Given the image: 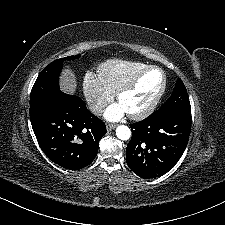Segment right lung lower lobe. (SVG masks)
Returning a JSON list of instances; mask_svg holds the SVG:
<instances>
[{
	"instance_id": "1",
	"label": "right lung lower lobe",
	"mask_w": 225,
	"mask_h": 225,
	"mask_svg": "<svg viewBox=\"0 0 225 225\" xmlns=\"http://www.w3.org/2000/svg\"><path fill=\"white\" fill-rule=\"evenodd\" d=\"M30 120L46 156L70 170L93 162L106 133L105 123L87 109L82 99L61 91L30 105Z\"/></svg>"
}]
</instances>
